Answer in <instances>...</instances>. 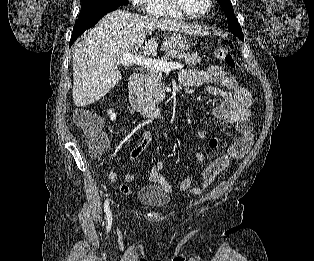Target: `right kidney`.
<instances>
[{"instance_id": "obj_1", "label": "right kidney", "mask_w": 314, "mask_h": 261, "mask_svg": "<svg viewBox=\"0 0 314 261\" xmlns=\"http://www.w3.org/2000/svg\"><path fill=\"white\" fill-rule=\"evenodd\" d=\"M107 113L110 116V120L112 121L116 120V114L114 113L112 109H109Z\"/></svg>"}]
</instances>
